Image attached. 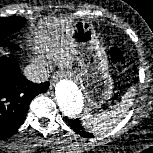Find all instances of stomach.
I'll return each mask as SVG.
<instances>
[{"mask_svg": "<svg viewBox=\"0 0 153 153\" xmlns=\"http://www.w3.org/2000/svg\"><path fill=\"white\" fill-rule=\"evenodd\" d=\"M72 39L80 70L76 79L84 92L87 106L97 108L109 100L113 93V80L108 70L105 48L94 30L85 20L73 23Z\"/></svg>", "mask_w": 153, "mask_h": 153, "instance_id": "stomach-1", "label": "stomach"}]
</instances>
